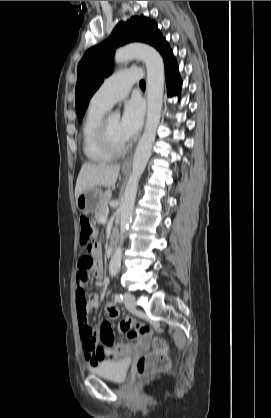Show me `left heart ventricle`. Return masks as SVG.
I'll list each match as a JSON object with an SVG mask.
<instances>
[{"label":"left heart ventricle","instance_id":"obj_1","mask_svg":"<svg viewBox=\"0 0 271 418\" xmlns=\"http://www.w3.org/2000/svg\"><path fill=\"white\" fill-rule=\"evenodd\" d=\"M109 130L112 136V139L116 143H124L125 140L120 131V119L118 117H110L109 119Z\"/></svg>","mask_w":271,"mask_h":418}]
</instances>
